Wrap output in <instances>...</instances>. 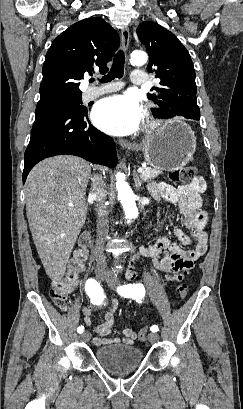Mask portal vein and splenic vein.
Segmentation results:
<instances>
[{"mask_svg":"<svg viewBox=\"0 0 243 409\" xmlns=\"http://www.w3.org/2000/svg\"><path fill=\"white\" fill-rule=\"evenodd\" d=\"M144 172V168H142V167H140V168H138V173H143Z\"/></svg>","mask_w":243,"mask_h":409,"instance_id":"portal-vein-and-splenic-vein-1","label":"portal vein and splenic vein"}]
</instances>
